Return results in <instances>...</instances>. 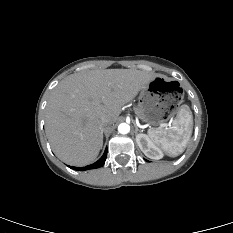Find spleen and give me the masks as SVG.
I'll return each mask as SVG.
<instances>
[{
	"label": "spleen",
	"mask_w": 233,
	"mask_h": 233,
	"mask_svg": "<svg viewBox=\"0 0 233 233\" xmlns=\"http://www.w3.org/2000/svg\"><path fill=\"white\" fill-rule=\"evenodd\" d=\"M193 116L187 105H182L170 128H155L148 132L149 138L171 157L181 154L191 137Z\"/></svg>",
	"instance_id": "3e777b00"
}]
</instances>
